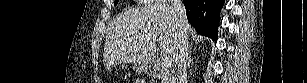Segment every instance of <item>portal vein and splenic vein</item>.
Listing matches in <instances>:
<instances>
[{"instance_id": "obj_1", "label": "portal vein and splenic vein", "mask_w": 307, "mask_h": 83, "mask_svg": "<svg viewBox=\"0 0 307 83\" xmlns=\"http://www.w3.org/2000/svg\"><path fill=\"white\" fill-rule=\"evenodd\" d=\"M162 64L165 68H171L173 65V60L170 57H165L162 59Z\"/></svg>"}]
</instances>
